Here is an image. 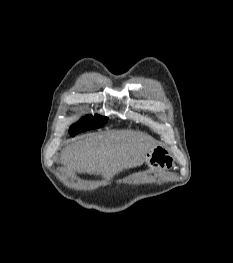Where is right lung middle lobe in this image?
Masks as SVG:
<instances>
[{
  "label": "right lung middle lobe",
  "instance_id": "dd1d6c3e",
  "mask_svg": "<svg viewBox=\"0 0 233 263\" xmlns=\"http://www.w3.org/2000/svg\"><path fill=\"white\" fill-rule=\"evenodd\" d=\"M107 119V117H103L100 115L85 116L70 127V135L75 136L76 134L81 133L83 131L103 127L104 124L107 122Z\"/></svg>",
  "mask_w": 233,
  "mask_h": 263
}]
</instances>
